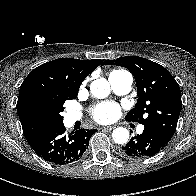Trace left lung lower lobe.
<instances>
[{
  "label": "left lung lower lobe",
  "mask_w": 196,
  "mask_h": 196,
  "mask_svg": "<svg viewBox=\"0 0 196 196\" xmlns=\"http://www.w3.org/2000/svg\"><path fill=\"white\" fill-rule=\"evenodd\" d=\"M171 140L158 128L144 125V131L122 147V153L132 158L151 157L161 151Z\"/></svg>",
  "instance_id": "left-lung-lower-lobe-1"
}]
</instances>
